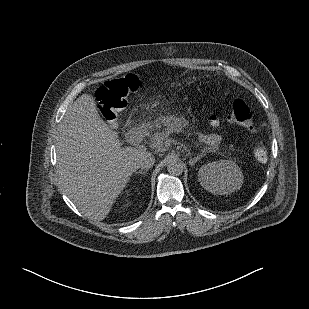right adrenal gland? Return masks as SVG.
Listing matches in <instances>:
<instances>
[{
  "instance_id": "right-adrenal-gland-1",
  "label": "right adrenal gland",
  "mask_w": 309,
  "mask_h": 309,
  "mask_svg": "<svg viewBox=\"0 0 309 309\" xmlns=\"http://www.w3.org/2000/svg\"><path fill=\"white\" fill-rule=\"evenodd\" d=\"M147 173V170H140L139 172H136V174H146Z\"/></svg>"
}]
</instances>
